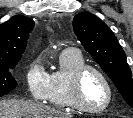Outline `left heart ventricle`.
Wrapping results in <instances>:
<instances>
[{"instance_id": "b2bd125f", "label": "left heart ventricle", "mask_w": 133, "mask_h": 118, "mask_svg": "<svg viewBox=\"0 0 133 118\" xmlns=\"http://www.w3.org/2000/svg\"><path fill=\"white\" fill-rule=\"evenodd\" d=\"M107 88L101 77L93 71L85 74L82 82V97L89 107L98 108L107 100Z\"/></svg>"}]
</instances>
